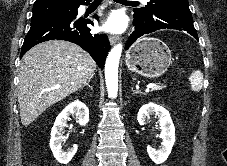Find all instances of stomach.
I'll return each instance as SVG.
<instances>
[{"label":"stomach","mask_w":227,"mask_h":166,"mask_svg":"<svg viewBox=\"0 0 227 166\" xmlns=\"http://www.w3.org/2000/svg\"><path fill=\"white\" fill-rule=\"evenodd\" d=\"M125 62L130 71L155 78L169 68L172 62L171 51L160 39L143 37L128 50Z\"/></svg>","instance_id":"stomach-1"}]
</instances>
